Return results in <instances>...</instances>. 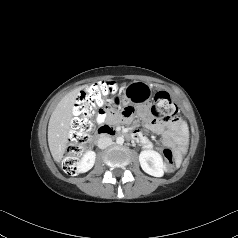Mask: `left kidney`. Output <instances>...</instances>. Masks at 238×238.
I'll return each mask as SVG.
<instances>
[{
	"mask_svg": "<svg viewBox=\"0 0 238 238\" xmlns=\"http://www.w3.org/2000/svg\"><path fill=\"white\" fill-rule=\"evenodd\" d=\"M141 168L154 177H162L166 167L161 155L154 150H144L139 155Z\"/></svg>",
	"mask_w": 238,
	"mask_h": 238,
	"instance_id": "1",
	"label": "left kidney"
}]
</instances>
